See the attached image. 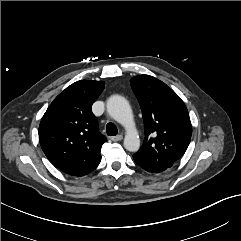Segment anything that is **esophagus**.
<instances>
[{"label": "esophagus", "mask_w": 241, "mask_h": 241, "mask_svg": "<svg viewBox=\"0 0 241 241\" xmlns=\"http://www.w3.org/2000/svg\"><path fill=\"white\" fill-rule=\"evenodd\" d=\"M110 139L112 141H120L123 139V136L122 135L112 136V137H110Z\"/></svg>", "instance_id": "esophagus-1"}]
</instances>
